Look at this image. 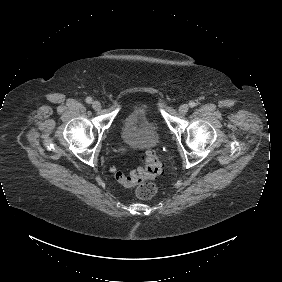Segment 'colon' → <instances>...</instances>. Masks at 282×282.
I'll return each mask as SVG.
<instances>
[{
  "instance_id": "obj_1",
  "label": "colon",
  "mask_w": 282,
  "mask_h": 282,
  "mask_svg": "<svg viewBox=\"0 0 282 282\" xmlns=\"http://www.w3.org/2000/svg\"><path fill=\"white\" fill-rule=\"evenodd\" d=\"M162 172V164L159 156L154 152H147L144 155V165L137 173L126 175L119 168H113L112 173L115 180L123 187L131 188L135 182H139L144 178H157ZM158 192V187L155 183H143L137 187L135 195L139 199L150 200Z\"/></svg>"
}]
</instances>
